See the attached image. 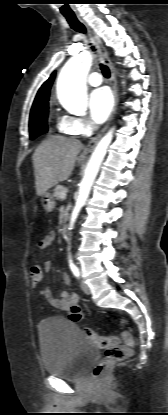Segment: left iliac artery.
<instances>
[{
    "instance_id": "1",
    "label": "left iliac artery",
    "mask_w": 168,
    "mask_h": 415,
    "mask_svg": "<svg viewBox=\"0 0 168 415\" xmlns=\"http://www.w3.org/2000/svg\"><path fill=\"white\" fill-rule=\"evenodd\" d=\"M71 270H72V272H73L74 276H75V277H77V278H79V276H80V272H79L78 267H76V266H71Z\"/></svg>"
}]
</instances>
